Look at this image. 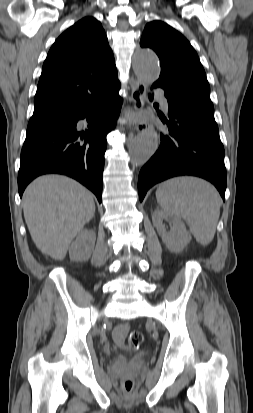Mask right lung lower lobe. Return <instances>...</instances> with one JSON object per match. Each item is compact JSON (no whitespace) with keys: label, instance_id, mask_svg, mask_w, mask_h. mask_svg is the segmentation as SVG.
<instances>
[{"label":"right lung lower lobe","instance_id":"98d812e1","mask_svg":"<svg viewBox=\"0 0 253 413\" xmlns=\"http://www.w3.org/2000/svg\"><path fill=\"white\" fill-rule=\"evenodd\" d=\"M119 88L116 74L96 97L72 105L54 124L26 135L18 173L20 197L37 176L60 173L85 185L102 202L106 135L120 113ZM83 118L88 125L81 131L77 123Z\"/></svg>","mask_w":253,"mask_h":413}]
</instances>
